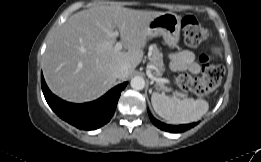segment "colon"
Returning a JSON list of instances; mask_svg holds the SVG:
<instances>
[{"mask_svg": "<svg viewBox=\"0 0 261 162\" xmlns=\"http://www.w3.org/2000/svg\"><path fill=\"white\" fill-rule=\"evenodd\" d=\"M181 27L184 41L191 48H197L209 36L208 29L193 16H185L181 21ZM200 60L202 63L200 76L181 74L175 79V84L185 93L205 97L220 85L224 68L212 63L210 57L205 54L201 55Z\"/></svg>", "mask_w": 261, "mask_h": 162, "instance_id": "1", "label": "colon"}]
</instances>
